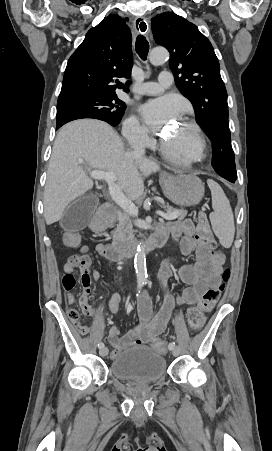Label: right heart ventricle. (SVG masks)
Returning <instances> with one entry per match:
<instances>
[{"label":"right heart ventricle","instance_id":"obj_1","mask_svg":"<svg viewBox=\"0 0 272 451\" xmlns=\"http://www.w3.org/2000/svg\"><path fill=\"white\" fill-rule=\"evenodd\" d=\"M170 99H171L172 102H174V99H173V98H170Z\"/></svg>","mask_w":272,"mask_h":451}]
</instances>
